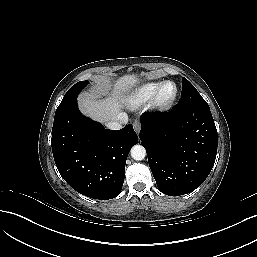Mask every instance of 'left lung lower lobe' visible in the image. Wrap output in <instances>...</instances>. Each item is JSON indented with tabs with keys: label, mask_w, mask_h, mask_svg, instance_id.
Segmentation results:
<instances>
[{
	"label": "left lung lower lobe",
	"mask_w": 257,
	"mask_h": 257,
	"mask_svg": "<svg viewBox=\"0 0 257 257\" xmlns=\"http://www.w3.org/2000/svg\"><path fill=\"white\" fill-rule=\"evenodd\" d=\"M141 144L159 190L169 196L192 192L209 175L217 154L210 108L175 107L141 116Z\"/></svg>",
	"instance_id": "0a47b994"
}]
</instances>
